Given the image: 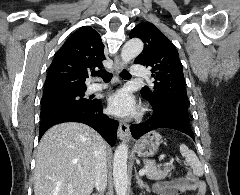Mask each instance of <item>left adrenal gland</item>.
<instances>
[{"instance_id": "1", "label": "left adrenal gland", "mask_w": 240, "mask_h": 195, "mask_svg": "<svg viewBox=\"0 0 240 195\" xmlns=\"http://www.w3.org/2000/svg\"><path fill=\"white\" fill-rule=\"evenodd\" d=\"M134 171L136 183H138L139 187H141V189H149V185H147V183H144L143 179H141L140 175H138L136 167H134Z\"/></svg>"}]
</instances>
